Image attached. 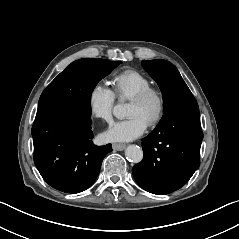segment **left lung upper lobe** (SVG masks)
Here are the masks:
<instances>
[{
	"mask_svg": "<svg viewBox=\"0 0 239 239\" xmlns=\"http://www.w3.org/2000/svg\"><path fill=\"white\" fill-rule=\"evenodd\" d=\"M142 65L158 83L162 91L164 108L162 119L177 107L197 103L177 68L172 63L162 59H154L150 61L144 60Z\"/></svg>",
	"mask_w": 239,
	"mask_h": 239,
	"instance_id": "left-lung-upper-lobe-1",
	"label": "left lung upper lobe"
}]
</instances>
